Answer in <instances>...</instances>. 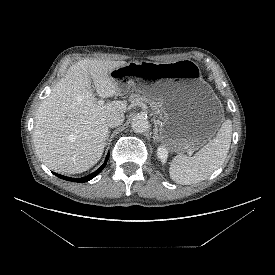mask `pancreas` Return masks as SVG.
<instances>
[{"label": "pancreas", "instance_id": "obj_1", "mask_svg": "<svg viewBox=\"0 0 275 275\" xmlns=\"http://www.w3.org/2000/svg\"><path fill=\"white\" fill-rule=\"evenodd\" d=\"M129 100L133 103L146 102L150 105L152 110H158L161 106V103L156 102L155 99L147 98L145 96H141L140 94H131Z\"/></svg>", "mask_w": 275, "mask_h": 275}]
</instances>
